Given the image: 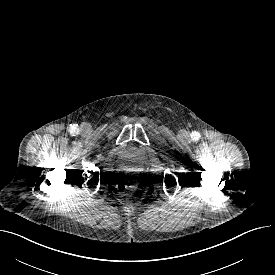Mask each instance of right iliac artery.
I'll list each match as a JSON object with an SVG mask.
<instances>
[{"label":"right iliac artery","instance_id":"82829eb1","mask_svg":"<svg viewBox=\"0 0 275 275\" xmlns=\"http://www.w3.org/2000/svg\"><path fill=\"white\" fill-rule=\"evenodd\" d=\"M77 132V128H76V126H72L71 127V133H76Z\"/></svg>","mask_w":275,"mask_h":275}]
</instances>
